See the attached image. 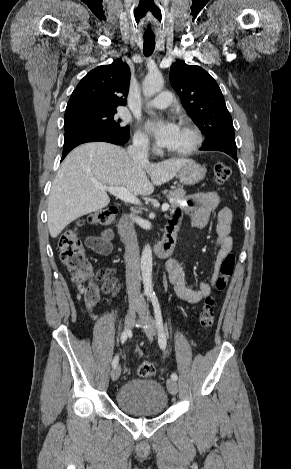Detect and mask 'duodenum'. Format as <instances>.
<instances>
[{"label":"duodenum","mask_w":291,"mask_h":469,"mask_svg":"<svg viewBox=\"0 0 291 469\" xmlns=\"http://www.w3.org/2000/svg\"><path fill=\"white\" fill-rule=\"evenodd\" d=\"M128 229V217L124 214L118 224L119 234L124 241L128 238ZM177 231L173 226L166 227L163 238L154 246V252L159 258L165 259L172 254L177 240Z\"/></svg>","instance_id":"410a0bca"}]
</instances>
